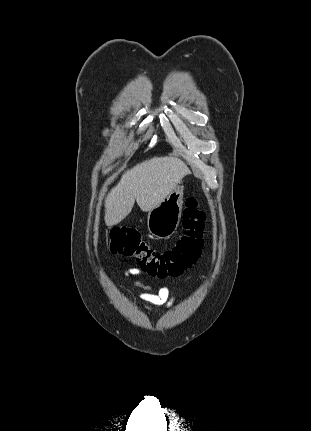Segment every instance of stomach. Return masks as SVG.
Here are the masks:
<instances>
[{"mask_svg": "<svg viewBox=\"0 0 311 431\" xmlns=\"http://www.w3.org/2000/svg\"><path fill=\"white\" fill-rule=\"evenodd\" d=\"M184 186L181 182L157 208L147 214L149 233L158 239H167L175 233L182 217Z\"/></svg>", "mask_w": 311, "mask_h": 431, "instance_id": "stomach-1", "label": "stomach"}]
</instances>
